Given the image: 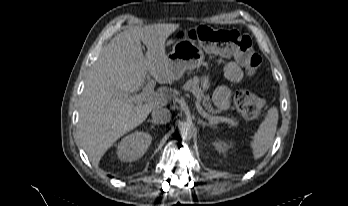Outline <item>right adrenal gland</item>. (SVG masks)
I'll list each match as a JSON object with an SVG mask.
<instances>
[{
	"mask_svg": "<svg viewBox=\"0 0 348 206\" xmlns=\"http://www.w3.org/2000/svg\"><path fill=\"white\" fill-rule=\"evenodd\" d=\"M147 122H151L153 125H158V123L157 122H155L154 120H152V119H148L147 120Z\"/></svg>",
	"mask_w": 348,
	"mask_h": 206,
	"instance_id": "obj_1",
	"label": "right adrenal gland"
}]
</instances>
